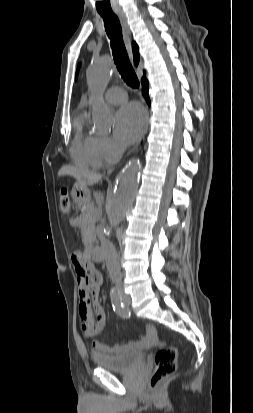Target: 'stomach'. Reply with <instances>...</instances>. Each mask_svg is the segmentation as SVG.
Returning <instances> with one entry per match:
<instances>
[{"instance_id":"obj_1","label":"stomach","mask_w":253,"mask_h":413,"mask_svg":"<svg viewBox=\"0 0 253 413\" xmlns=\"http://www.w3.org/2000/svg\"><path fill=\"white\" fill-rule=\"evenodd\" d=\"M73 200L79 205L84 206L90 201V191L87 187L80 185L78 182L74 184L71 192Z\"/></svg>"}]
</instances>
